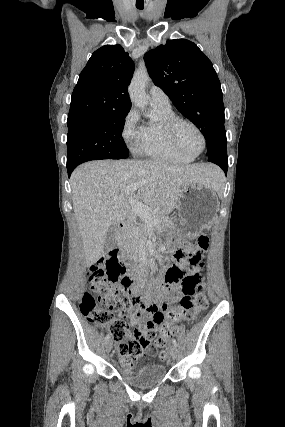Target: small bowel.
<instances>
[{
	"label": "small bowel",
	"mask_w": 285,
	"mask_h": 427,
	"mask_svg": "<svg viewBox=\"0 0 285 427\" xmlns=\"http://www.w3.org/2000/svg\"><path fill=\"white\" fill-rule=\"evenodd\" d=\"M203 260L202 255L198 254L194 256L192 259L188 261H184L181 263V266L186 267L187 272L191 274H201L199 262ZM187 295L181 286H172L170 288H166L163 286H159L157 292L153 295H147L140 299L141 309L147 314L151 316L150 320L145 319L143 313L136 317L133 322V326L136 324H143L144 326H151L154 323H162L163 317L168 310L169 304L176 303L184 296ZM182 319H185V316H180L178 318V322ZM153 353L151 350L146 351L141 358L145 357L147 354ZM125 365H128L124 363Z\"/></svg>",
	"instance_id": "c3829d8e"
}]
</instances>
